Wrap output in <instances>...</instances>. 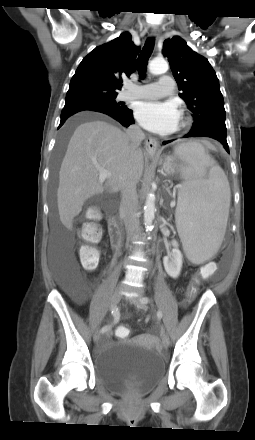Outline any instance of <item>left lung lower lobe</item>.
I'll list each match as a JSON object with an SVG mask.
<instances>
[{"instance_id": "obj_1", "label": "left lung lower lobe", "mask_w": 255, "mask_h": 440, "mask_svg": "<svg viewBox=\"0 0 255 440\" xmlns=\"http://www.w3.org/2000/svg\"><path fill=\"white\" fill-rule=\"evenodd\" d=\"M188 137H209L219 141L225 150L229 153V146L226 140V130L217 127H206L199 130H191L188 134L184 136ZM173 140L164 141L163 144L172 142Z\"/></svg>"}]
</instances>
